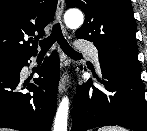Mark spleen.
I'll return each mask as SVG.
<instances>
[{
	"mask_svg": "<svg viewBox=\"0 0 147 131\" xmlns=\"http://www.w3.org/2000/svg\"><path fill=\"white\" fill-rule=\"evenodd\" d=\"M99 131H126V130L118 126H106L101 128Z\"/></svg>",
	"mask_w": 147,
	"mask_h": 131,
	"instance_id": "obj_1",
	"label": "spleen"
}]
</instances>
